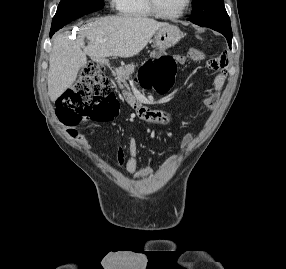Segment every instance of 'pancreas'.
Masks as SVG:
<instances>
[{
	"label": "pancreas",
	"instance_id": "pancreas-1",
	"mask_svg": "<svg viewBox=\"0 0 286 269\" xmlns=\"http://www.w3.org/2000/svg\"><path fill=\"white\" fill-rule=\"evenodd\" d=\"M134 65L121 66L113 72L118 85L123 88L122 93L126 97H132L127 80L134 73Z\"/></svg>",
	"mask_w": 286,
	"mask_h": 269
}]
</instances>
